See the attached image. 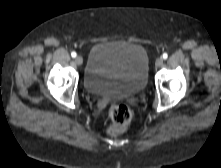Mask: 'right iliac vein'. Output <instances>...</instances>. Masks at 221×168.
I'll return each instance as SVG.
<instances>
[{
	"mask_svg": "<svg viewBox=\"0 0 221 168\" xmlns=\"http://www.w3.org/2000/svg\"><path fill=\"white\" fill-rule=\"evenodd\" d=\"M75 62H76L77 65H82V63H83V58H82L81 56H77V57L75 58Z\"/></svg>",
	"mask_w": 221,
	"mask_h": 168,
	"instance_id": "1",
	"label": "right iliac vein"
}]
</instances>
